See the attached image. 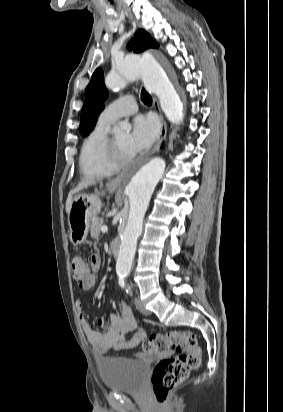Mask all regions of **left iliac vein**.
Segmentation results:
<instances>
[{
    "label": "left iliac vein",
    "mask_w": 283,
    "mask_h": 412,
    "mask_svg": "<svg viewBox=\"0 0 283 412\" xmlns=\"http://www.w3.org/2000/svg\"><path fill=\"white\" fill-rule=\"evenodd\" d=\"M134 302H135V306H136L137 310L140 313H142L144 315H150L151 314V312L148 309H146L145 305L143 304V302L140 300L139 297H135Z\"/></svg>",
    "instance_id": "left-iliac-vein-1"
}]
</instances>
